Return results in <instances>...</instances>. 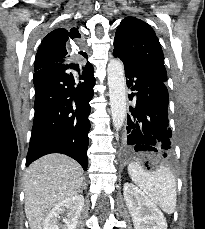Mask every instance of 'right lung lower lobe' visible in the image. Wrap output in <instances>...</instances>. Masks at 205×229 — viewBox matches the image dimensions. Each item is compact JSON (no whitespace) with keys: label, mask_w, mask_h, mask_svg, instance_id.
Returning <instances> with one entry per match:
<instances>
[{"label":"right lung lower lobe","mask_w":205,"mask_h":229,"mask_svg":"<svg viewBox=\"0 0 205 229\" xmlns=\"http://www.w3.org/2000/svg\"><path fill=\"white\" fill-rule=\"evenodd\" d=\"M70 66L53 64L35 71V115L26 166L49 153L66 154L88 166L87 149L95 78L92 65L83 69L75 88ZM79 72V71H78Z\"/></svg>","instance_id":"obj_1"}]
</instances>
